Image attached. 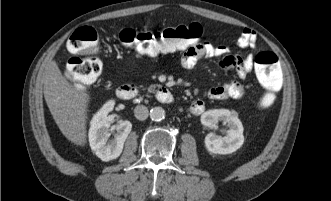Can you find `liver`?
<instances>
[{"label":"liver","mask_w":331,"mask_h":201,"mask_svg":"<svg viewBox=\"0 0 331 201\" xmlns=\"http://www.w3.org/2000/svg\"><path fill=\"white\" fill-rule=\"evenodd\" d=\"M43 82L45 101L60 131L72 143L85 146L89 94L69 83L56 61L46 64Z\"/></svg>","instance_id":"1"}]
</instances>
